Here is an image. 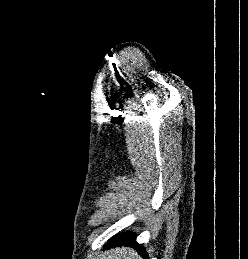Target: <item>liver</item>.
Masks as SVG:
<instances>
[{
	"label": "liver",
	"mask_w": 248,
	"mask_h": 259,
	"mask_svg": "<svg viewBox=\"0 0 248 259\" xmlns=\"http://www.w3.org/2000/svg\"><path fill=\"white\" fill-rule=\"evenodd\" d=\"M105 259H141V257L131 248L120 247L107 253Z\"/></svg>",
	"instance_id": "6515ba94"
}]
</instances>
